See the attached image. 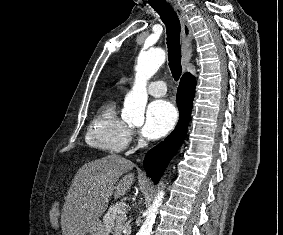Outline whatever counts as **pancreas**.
I'll list each match as a JSON object with an SVG mask.
<instances>
[{
  "mask_svg": "<svg viewBox=\"0 0 283 235\" xmlns=\"http://www.w3.org/2000/svg\"><path fill=\"white\" fill-rule=\"evenodd\" d=\"M125 203L117 202L110 206L108 212L103 217V223L107 232H112L113 235H122L126 231V235L131 232L129 222H126L124 212Z\"/></svg>",
  "mask_w": 283,
  "mask_h": 235,
  "instance_id": "pancreas-1",
  "label": "pancreas"
}]
</instances>
